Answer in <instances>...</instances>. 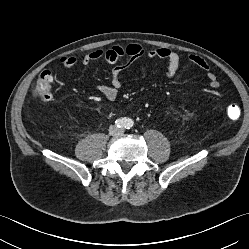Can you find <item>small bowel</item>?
Masks as SVG:
<instances>
[{"mask_svg":"<svg viewBox=\"0 0 249 249\" xmlns=\"http://www.w3.org/2000/svg\"><path fill=\"white\" fill-rule=\"evenodd\" d=\"M123 57L126 58V61L122 64H118L119 60ZM142 57L165 61V76L167 78L176 76L182 61V55L172 49L158 47L152 50H146L141 44L132 43L127 46H113L106 50L99 48L93 49L85 54L80 62L83 65H88L94 61L104 59L107 63L114 65L111 70L110 84L97 86V91L101 95L110 101H114L118 98L122 87V73L128 69L134 61ZM188 59L191 63L207 73V79L211 88L217 89L220 86L218 77L215 73L210 71V67L204 58L196 54H190ZM78 62L79 60L74 56H67L60 59V64L66 69L74 67Z\"/></svg>","mask_w":249,"mask_h":249,"instance_id":"c3829d8e","label":"small bowel"}]
</instances>
